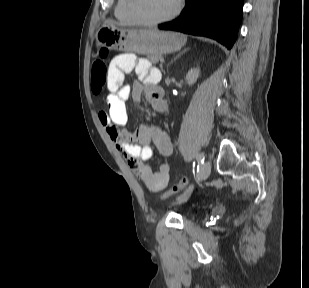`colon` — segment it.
I'll use <instances>...</instances> for the list:
<instances>
[{"label": "colon", "instance_id": "5ec220e1", "mask_svg": "<svg viewBox=\"0 0 309 288\" xmlns=\"http://www.w3.org/2000/svg\"><path fill=\"white\" fill-rule=\"evenodd\" d=\"M109 52L107 49H102L100 51L101 59L95 61L91 67V86L92 90L95 93L102 92L108 81V73L109 69L105 62L106 57L108 56ZM189 181L187 178H181L176 184L170 187L168 190L163 192L160 196V199H166L173 195H176L181 190L187 187Z\"/></svg>", "mask_w": 309, "mask_h": 288}]
</instances>
